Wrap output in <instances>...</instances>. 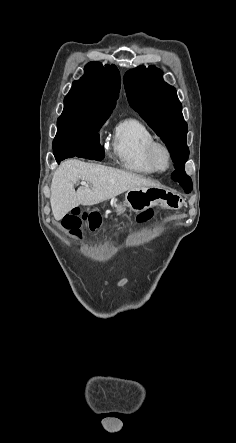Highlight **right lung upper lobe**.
Returning <instances> with one entry per match:
<instances>
[{
    "mask_svg": "<svg viewBox=\"0 0 236 443\" xmlns=\"http://www.w3.org/2000/svg\"><path fill=\"white\" fill-rule=\"evenodd\" d=\"M120 91V73L115 65L104 68L99 62H90L84 76L73 82L64 98V111L110 114Z\"/></svg>",
    "mask_w": 236,
    "mask_h": 443,
    "instance_id": "right-lung-upper-lobe-1",
    "label": "right lung upper lobe"
}]
</instances>
